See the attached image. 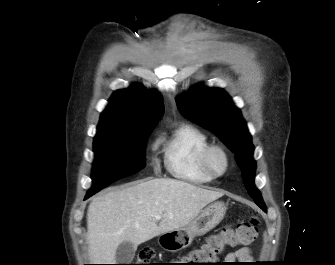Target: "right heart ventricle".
<instances>
[{
  "instance_id": "e07e8e85",
  "label": "right heart ventricle",
  "mask_w": 335,
  "mask_h": 265,
  "mask_svg": "<svg viewBox=\"0 0 335 265\" xmlns=\"http://www.w3.org/2000/svg\"><path fill=\"white\" fill-rule=\"evenodd\" d=\"M162 144L164 163L173 177L198 185L214 180L201 164L204 150L211 145L209 137L201 129L182 124L162 140Z\"/></svg>"
}]
</instances>
